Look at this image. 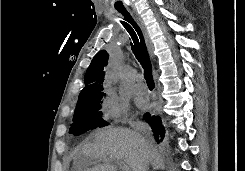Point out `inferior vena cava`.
<instances>
[{"instance_id":"obj_1","label":"inferior vena cava","mask_w":245,"mask_h":171,"mask_svg":"<svg viewBox=\"0 0 245 171\" xmlns=\"http://www.w3.org/2000/svg\"><path fill=\"white\" fill-rule=\"evenodd\" d=\"M135 129L146 136L150 135V128L145 124L137 123L135 125ZM145 144L147 145V141H145ZM147 170H148V162H146L141 168V171H147Z\"/></svg>"}]
</instances>
